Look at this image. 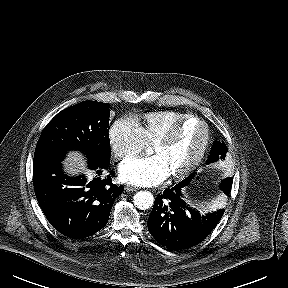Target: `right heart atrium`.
Masks as SVG:
<instances>
[{
	"instance_id": "d8ad5b80",
	"label": "right heart atrium",
	"mask_w": 288,
	"mask_h": 288,
	"mask_svg": "<svg viewBox=\"0 0 288 288\" xmlns=\"http://www.w3.org/2000/svg\"><path fill=\"white\" fill-rule=\"evenodd\" d=\"M108 139L112 155L116 159L136 156L146 144L137 123L132 118L115 121L109 129Z\"/></svg>"
}]
</instances>
